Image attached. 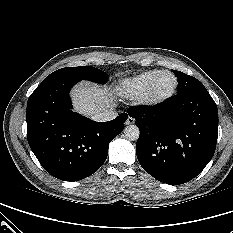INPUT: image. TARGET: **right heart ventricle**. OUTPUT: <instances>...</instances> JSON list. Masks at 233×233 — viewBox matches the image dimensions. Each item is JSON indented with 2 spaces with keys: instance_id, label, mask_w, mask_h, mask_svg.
<instances>
[{
  "instance_id": "obj_1",
  "label": "right heart ventricle",
  "mask_w": 233,
  "mask_h": 233,
  "mask_svg": "<svg viewBox=\"0 0 233 233\" xmlns=\"http://www.w3.org/2000/svg\"><path fill=\"white\" fill-rule=\"evenodd\" d=\"M160 72L158 69L143 71L135 76L121 80L117 85L119 95L127 98H138L149 82Z\"/></svg>"
}]
</instances>
